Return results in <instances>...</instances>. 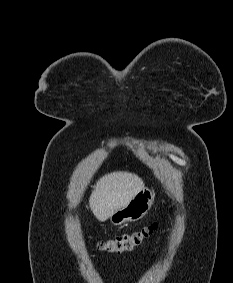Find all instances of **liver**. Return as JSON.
<instances>
[{
  "instance_id": "obj_1",
  "label": "liver",
  "mask_w": 233,
  "mask_h": 283,
  "mask_svg": "<svg viewBox=\"0 0 233 283\" xmlns=\"http://www.w3.org/2000/svg\"><path fill=\"white\" fill-rule=\"evenodd\" d=\"M142 189L144 182L136 174L117 171L100 178L89 198V206L99 221L107 220L116 210L126 206Z\"/></svg>"
}]
</instances>
